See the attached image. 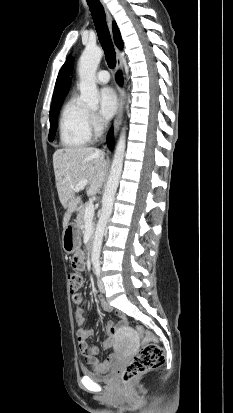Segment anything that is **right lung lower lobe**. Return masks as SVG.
Returning a JSON list of instances; mask_svg holds the SVG:
<instances>
[{
    "label": "right lung lower lobe",
    "instance_id": "obj_1",
    "mask_svg": "<svg viewBox=\"0 0 233 413\" xmlns=\"http://www.w3.org/2000/svg\"><path fill=\"white\" fill-rule=\"evenodd\" d=\"M116 80H117L118 83H122V78H121L120 73H118V75L116 77ZM112 145H113V129H111V131L109 132V135H108V146H109L110 149H111Z\"/></svg>",
    "mask_w": 233,
    "mask_h": 413
}]
</instances>
